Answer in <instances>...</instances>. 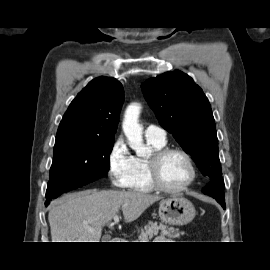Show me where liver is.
Here are the masks:
<instances>
[{
	"instance_id": "obj_1",
	"label": "liver",
	"mask_w": 270,
	"mask_h": 270,
	"mask_svg": "<svg viewBox=\"0 0 270 270\" xmlns=\"http://www.w3.org/2000/svg\"><path fill=\"white\" fill-rule=\"evenodd\" d=\"M161 197L138 191L87 190L55 201L48 214L52 242H99L104 225L122 209L136 220Z\"/></svg>"
}]
</instances>
